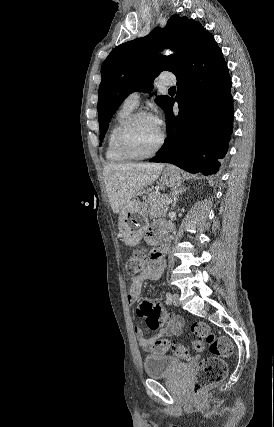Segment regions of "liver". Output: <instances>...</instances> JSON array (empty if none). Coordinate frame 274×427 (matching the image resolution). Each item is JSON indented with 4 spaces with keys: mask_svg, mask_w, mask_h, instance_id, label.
<instances>
[{
    "mask_svg": "<svg viewBox=\"0 0 274 427\" xmlns=\"http://www.w3.org/2000/svg\"><path fill=\"white\" fill-rule=\"evenodd\" d=\"M164 164H107L103 178L112 212L119 214L129 208L141 188L158 180Z\"/></svg>",
    "mask_w": 274,
    "mask_h": 427,
    "instance_id": "obj_1",
    "label": "liver"
}]
</instances>
